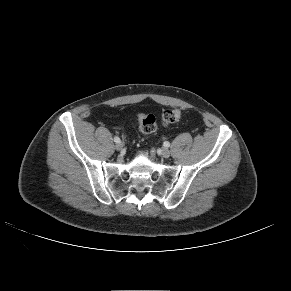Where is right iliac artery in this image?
Segmentation results:
<instances>
[{
	"instance_id": "right-iliac-artery-1",
	"label": "right iliac artery",
	"mask_w": 291,
	"mask_h": 291,
	"mask_svg": "<svg viewBox=\"0 0 291 291\" xmlns=\"http://www.w3.org/2000/svg\"><path fill=\"white\" fill-rule=\"evenodd\" d=\"M114 142L119 143L120 142V138L119 137H114Z\"/></svg>"
}]
</instances>
